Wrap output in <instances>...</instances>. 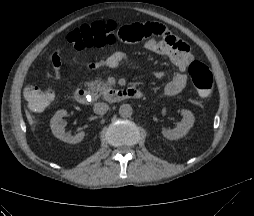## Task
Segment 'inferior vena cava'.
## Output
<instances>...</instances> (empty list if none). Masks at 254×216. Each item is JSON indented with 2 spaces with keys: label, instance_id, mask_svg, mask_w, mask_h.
<instances>
[{
  "label": "inferior vena cava",
  "instance_id": "602c4592",
  "mask_svg": "<svg viewBox=\"0 0 254 216\" xmlns=\"http://www.w3.org/2000/svg\"><path fill=\"white\" fill-rule=\"evenodd\" d=\"M109 109V106L106 103L98 102L94 104L93 110L94 113L99 115H104Z\"/></svg>",
  "mask_w": 254,
  "mask_h": 216
}]
</instances>
